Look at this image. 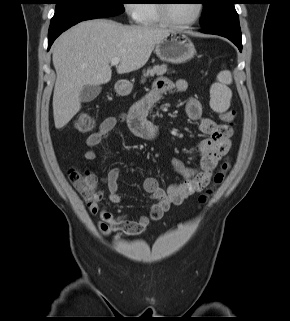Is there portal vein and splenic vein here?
<instances>
[{
    "instance_id": "1",
    "label": "portal vein and splenic vein",
    "mask_w": 290,
    "mask_h": 321,
    "mask_svg": "<svg viewBox=\"0 0 290 321\" xmlns=\"http://www.w3.org/2000/svg\"><path fill=\"white\" fill-rule=\"evenodd\" d=\"M120 63V59L119 58H113L111 60V65H118Z\"/></svg>"
}]
</instances>
